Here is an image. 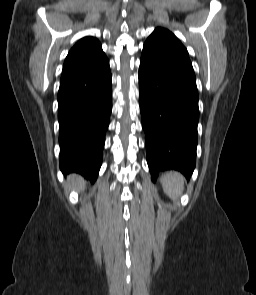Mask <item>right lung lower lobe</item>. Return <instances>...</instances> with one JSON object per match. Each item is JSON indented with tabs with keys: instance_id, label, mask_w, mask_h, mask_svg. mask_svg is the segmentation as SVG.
Wrapping results in <instances>:
<instances>
[{
	"instance_id": "98d812e1",
	"label": "right lung lower lobe",
	"mask_w": 256,
	"mask_h": 295,
	"mask_svg": "<svg viewBox=\"0 0 256 295\" xmlns=\"http://www.w3.org/2000/svg\"><path fill=\"white\" fill-rule=\"evenodd\" d=\"M108 59L62 73L58 92L60 169L96 180L112 110Z\"/></svg>"
}]
</instances>
